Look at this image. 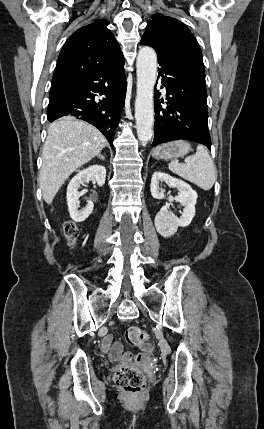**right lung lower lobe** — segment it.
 <instances>
[{"instance_id": "98d812e1", "label": "right lung lower lobe", "mask_w": 264, "mask_h": 429, "mask_svg": "<svg viewBox=\"0 0 264 429\" xmlns=\"http://www.w3.org/2000/svg\"><path fill=\"white\" fill-rule=\"evenodd\" d=\"M123 54L90 75L64 85L49 95L47 118L50 122L62 116H76L96 126L113 148L126 94ZM96 94L105 95L100 101Z\"/></svg>"}]
</instances>
